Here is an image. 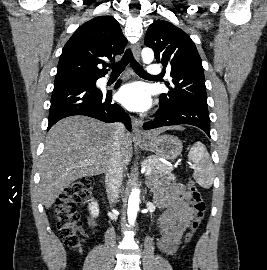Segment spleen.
Returning <instances> with one entry per match:
<instances>
[{"mask_svg": "<svg viewBox=\"0 0 267 270\" xmlns=\"http://www.w3.org/2000/svg\"><path fill=\"white\" fill-rule=\"evenodd\" d=\"M188 158L194 164L193 177L196 182L204 188H210L213 183L214 167L205 145L196 142L190 149Z\"/></svg>", "mask_w": 267, "mask_h": 270, "instance_id": "3e777b00", "label": "spleen"}]
</instances>
